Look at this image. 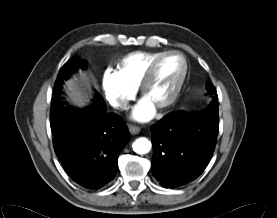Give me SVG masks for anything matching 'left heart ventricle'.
Here are the masks:
<instances>
[{
	"label": "left heart ventricle",
	"mask_w": 277,
	"mask_h": 218,
	"mask_svg": "<svg viewBox=\"0 0 277 218\" xmlns=\"http://www.w3.org/2000/svg\"><path fill=\"white\" fill-rule=\"evenodd\" d=\"M183 70L180 57L170 55L160 61L155 75L145 91L147 98L154 106L164 102L173 91Z\"/></svg>",
	"instance_id": "b2bd125f"
}]
</instances>
